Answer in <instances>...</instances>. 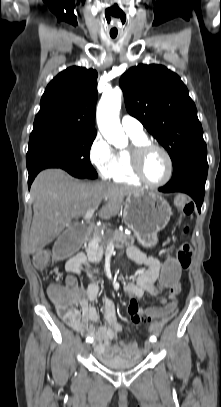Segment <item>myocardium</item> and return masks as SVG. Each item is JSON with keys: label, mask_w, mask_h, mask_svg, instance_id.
Segmentation results:
<instances>
[{"label": "myocardium", "mask_w": 221, "mask_h": 407, "mask_svg": "<svg viewBox=\"0 0 221 407\" xmlns=\"http://www.w3.org/2000/svg\"><path fill=\"white\" fill-rule=\"evenodd\" d=\"M152 150H158L162 152L165 157L167 158L169 169L168 174L164 180L159 182H153L147 178L144 173V159L146 155L151 152ZM129 158H130V167L132 173L135 177L142 183L152 186V187H160L166 185L173 177L174 173V161L170 154V152L163 146L153 143V142H145L139 144H133L129 149Z\"/></svg>", "instance_id": "obj_1"}]
</instances>
